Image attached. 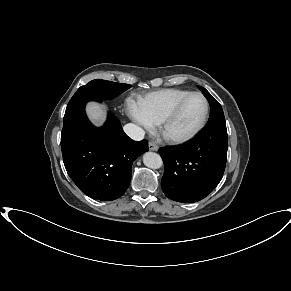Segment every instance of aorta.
<instances>
[{
  "label": "aorta",
  "mask_w": 291,
  "mask_h": 291,
  "mask_svg": "<svg viewBox=\"0 0 291 291\" xmlns=\"http://www.w3.org/2000/svg\"><path fill=\"white\" fill-rule=\"evenodd\" d=\"M143 163L151 169H158L163 165L160 155L154 152H146L143 155Z\"/></svg>",
  "instance_id": "obj_1"
}]
</instances>
